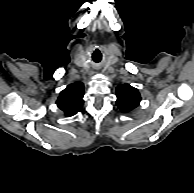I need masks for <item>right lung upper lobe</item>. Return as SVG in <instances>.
<instances>
[{
    "label": "right lung upper lobe",
    "instance_id": "1",
    "mask_svg": "<svg viewBox=\"0 0 194 193\" xmlns=\"http://www.w3.org/2000/svg\"><path fill=\"white\" fill-rule=\"evenodd\" d=\"M84 85L81 82L70 84L64 89L57 100L58 108L64 111L66 116H73L83 105Z\"/></svg>",
    "mask_w": 194,
    "mask_h": 193
}]
</instances>
